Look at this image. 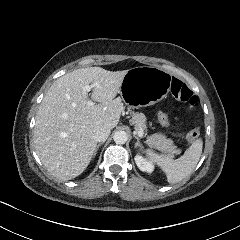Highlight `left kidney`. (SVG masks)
I'll use <instances>...</instances> for the list:
<instances>
[{"label":"left kidney","instance_id":"5707ae66","mask_svg":"<svg viewBox=\"0 0 240 240\" xmlns=\"http://www.w3.org/2000/svg\"><path fill=\"white\" fill-rule=\"evenodd\" d=\"M135 163L137 165V167L143 171V172H147V173H152L154 171V165L152 162L147 161V159H145L144 157H142L141 155L137 154L134 158Z\"/></svg>","mask_w":240,"mask_h":240}]
</instances>
